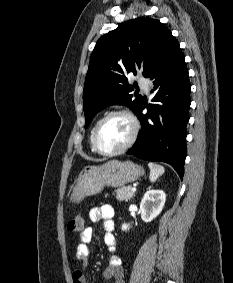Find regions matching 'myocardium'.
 Listing matches in <instances>:
<instances>
[{
    "label": "myocardium",
    "mask_w": 233,
    "mask_h": 283,
    "mask_svg": "<svg viewBox=\"0 0 233 283\" xmlns=\"http://www.w3.org/2000/svg\"><path fill=\"white\" fill-rule=\"evenodd\" d=\"M116 115H123L126 116L131 124H132V133L131 136L129 138V140L127 141V143L125 145H123L121 148H119L118 150L115 151H104L99 147L98 144V135L99 132L102 128V126L104 125V123L111 117L116 116ZM140 131V122L138 120V118L136 117V115L129 109H125V108H121V109H115L112 110L108 113H106L97 123L94 132H93V137H92V144H93V148L94 150L103 156H116V155H120L124 152H126L128 149H130L133 144L135 143L138 134Z\"/></svg>",
    "instance_id": "1"
}]
</instances>
